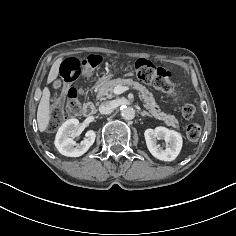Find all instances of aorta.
<instances>
[{
    "label": "aorta",
    "mask_w": 236,
    "mask_h": 236,
    "mask_svg": "<svg viewBox=\"0 0 236 236\" xmlns=\"http://www.w3.org/2000/svg\"><path fill=\"white\" fill-rule=\"evenodd\" d=\"M121 116L125 120H132L135 117V110L131 107H125L121 110Z\"/></svg>",
    "instance_id": "762f6f07"
}]
</instances>
